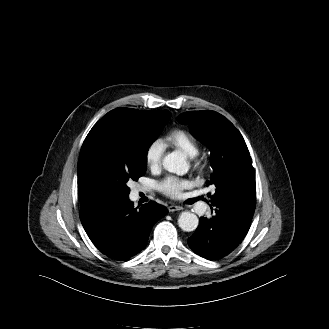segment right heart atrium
Segmentation results:
<instances>
[{
	"mask_svg": "<svg viewBox=\"0 0 329 329\" xmlns=\"http://www.w3.org/2000/svg\"><path fill=\"white\" fill-rule=\"evenodd\" d=\"M165 144L161 139L152 140L145 150V163L150 169L157 168L162 161Z\"/></svg>",
	"mask_w": 329,
	"mask_h": 329,
	"instance_id": "obj_1",
	"label": "right heart atrium"
}]
</instances>
